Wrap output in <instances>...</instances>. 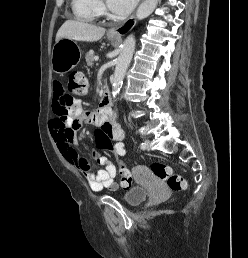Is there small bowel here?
I'll list each match as a JSON object with an SVG mask.
<instances>
[{"instance_id": "obj_1", "label": "small bowel", "mask_w": 248, "mask_h": 258, "mask_svg": "<svg viewBox=\"0 0 248 258\" xmlns=\"http://www.w3.org/2000/svg\"><path fill=\"white\" fill-rule=\"evenodd\" d=\"M52 108L54 116L50 120V129L56 144L64 158L83 173L91 190L100 192L104 188L112 191L129 188L130 186L125 187L122 182L121 184L115 182L117 169L106 157L96 151L92 152L90 158L79 157L76 151L78 141L75 134L83 122L91 121L114 142L117 154H121L123 158L126 153L122 142L124 132L116 120L112 116L103 114L101 109L84 110L81 101L73 99L60 82L54 83L53 86ZM90 160L96 161L104 168L95 173L90 167Z\"/></svg>"}]
</instances>
